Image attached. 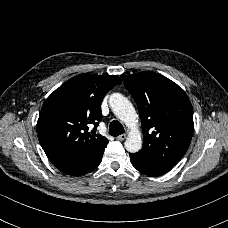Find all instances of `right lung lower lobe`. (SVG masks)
<instances>
[{
  "mask_svg": "<svg viewBox=\"0 0 228 228\" xmlns=\"http://www.w3.org/2000/svg\"><path fill=\"white\" fill-rule=\"evenodd\" d=\"M107 144L108 142L98 147L89 156H87L86 158L78 162L68 164V165L56 166V167L60 171L68 175H72V176L84 175L92 171L93 169H95L100 164L104 149Z\"/></svg>",
  "mask_w": 228,
  "mask_h": 228,
  "instance_id": "1",
  "label": "right lung lower lobe"
}]
</instances>
